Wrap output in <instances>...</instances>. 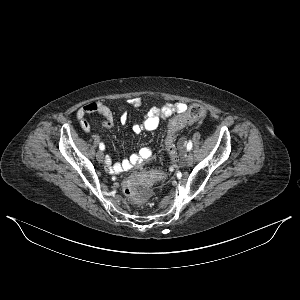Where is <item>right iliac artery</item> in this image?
Listing matches in <instances>:
<instances>
[{
	"label": "right iliac artery",
	"mask_w": 300,
	"mask_h": 300,
	"mask_svg": "<svg viewBox=\"0 0 300 300\" xmlns=\"http://www.w3.org/2000/svg\"><path fill=\"white\" fill-rule=\"evenodd\" d=\"M99 148L103 151L105 149V145L103 143H100Z\"/></svg>",
	"instance_id": "right-iliac-artery-1"
}]
</instances>
